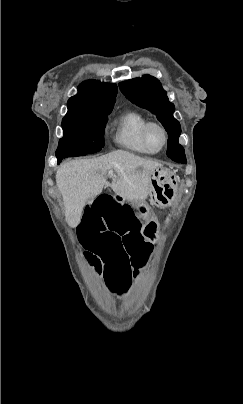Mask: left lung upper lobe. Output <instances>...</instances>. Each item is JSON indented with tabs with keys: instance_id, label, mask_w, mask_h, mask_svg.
<instances>
[{
	"instance_id": "obj_1",
	"label": "left lung upper lobe",
	"mask_w": 243,
	"mask_h": 404,
	"mask_svg": "<svg viewBox=\"0 0 243 404\" xmlns=\"http://www.w3.org/2000/svg\"><path fill=\"white\" fill-rule=\"evenodd\" d=\"M119 88L130 101L157 116L169 135L167 156L173 161L185 162V151L178 143L180 123L173 117L174 105L169 102L161 83L153 76L144 75L121 82Z\"/></svg>"
}]
</instances>
